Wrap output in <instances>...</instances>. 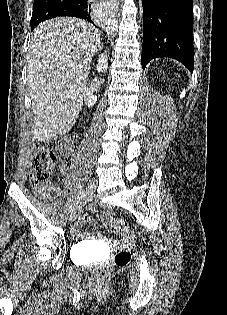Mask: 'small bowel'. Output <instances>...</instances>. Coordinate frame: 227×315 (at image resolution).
I'll list each match as a JSON object with an SVG mask.
<instances>
[{"label": "small bowel", "instance_id": "c3829d8e", "mask_svg": "<svg viewBox=\"0 0 227 315\" xmlns=\"http://www.w3.org/2000/svg\"><path fill=\"white\" fill-rule=\"evenodd\" d=\"M59 172L63 176H68L70 174V166L67 163H61L59 166ZM35 191L38 194V196L42 199L48 198L51 195V193H58V190L52 186H50L48 189H35ZM89 220L90 216L87 213L83 214L80 218V221L73 225L72 231L76 233L81 222H88Z\"/></svg>", "mask_w": 227, "mask_h": 315}]
</instances>
